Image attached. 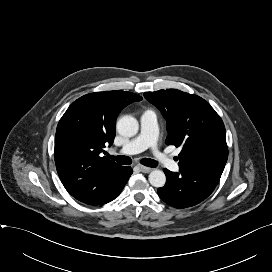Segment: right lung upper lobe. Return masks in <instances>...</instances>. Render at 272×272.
Returning <instances> with one entry per match:
<instances>
[{
	"mask_svg": "<svg viewBox=\"0 0 272 272\" xmlns=\"http://www.w3.org/2000/svg\"><path fill=\"white\" fill-rule=\"evenodd\" d=\"M140 100L141 96L121 90L95 92L74 101L64 113L56 130L54 158L61 182L73 197L122 168L100 154L114 141L121 110Z\"/></svg>",
	"mask_w": 272,
	"mask_h": 272,
	"instance_id": "cb5924a9",
	"label": "right lung upper lobe"
}]
</instances>
